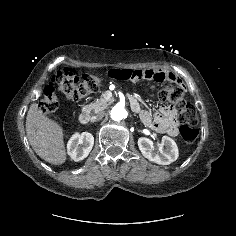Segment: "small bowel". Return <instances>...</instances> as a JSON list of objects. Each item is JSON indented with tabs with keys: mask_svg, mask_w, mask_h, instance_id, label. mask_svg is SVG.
<instances>
[{
	"mask_svg": "<svg viewBox=\"0 0 236 236\" xmlns=\"http://www.w3.org/2000/svg\"><path fill=\"white\" fill-rule=\"evenodd\" d=\"M108 77L113 81L121 83H134L140 80H152L155 82L169 81L182 85V81L174 74L163 69L129 70L127 68L119 70L112 67L107 72ZM142 122L161 133L176 136L178 133V123L174 118V111L169 107H162L154 116L146 110L139 111Z\"/></svg>",
	"mask_w": 236,
	"mask_h": 236,
	"instance_id": "obj_1",
	"label": "small bowel"
}]
</instances>
